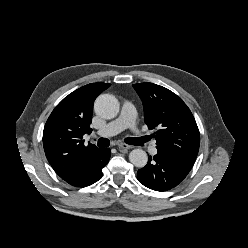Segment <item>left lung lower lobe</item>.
Returning <instances> with one entry per match:
<instances>
[{
  "instance_id": "0a47b994",
  "label": "left lung lower lobe",
  "mask_w": 248,
  "mask_h": 248,
  "mask_svg": "<svg viewBox=\"0 0 248 248\" xmlns=\"http://www.w3.org/2000/svg\"><path fill=\"white\" fill-rule=\"evenodd\" d=\"M194 161L160 152L151 157L148 164L137 172L138 181L156 191H168L176 187L190 172Z\"/></svg>"
}]
</instances>
